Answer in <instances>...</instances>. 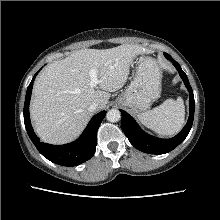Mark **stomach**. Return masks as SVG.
Returning <instances> with one entry per match:
<instances>
[{
    "instance_id": "obj_1",
    "label": "stomach",
    "mask_w": 220,
    "mask_h": 220,
    "mask_svg": "<svg viewBox=\"0 0 220 220\" xmlns=\"http://www.w3.org/2000/svg\"><path fill=\"white\" fill-rule=\"evenodd\" d=\"M162 72L157 62L141 58L130 85L117 97L116 102L134 113L146 111L161 93Z\"/></svg>"
}]
</instances>
